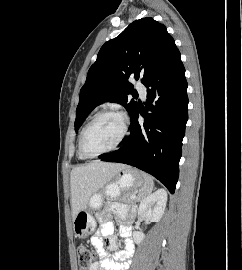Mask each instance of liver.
Wrapping results in <instances>:
<instances>
[{
    "label": "liver",
    "instance_id": "obj_1",
    "mask_svg": "<svg viewBox=\"0 0 242 270\" xmlns=\"http://www.w3.org/2000/svg\"><path fill=\"white\" fill-rule=\"evenodd\" d=\"M124 164L93 161L71 171V204L73 220L86 209L90 197L103 189L121 170Z\"/></svg>",
    "mask_w": 242,
    "mask_h": 270
}]
</instances>
